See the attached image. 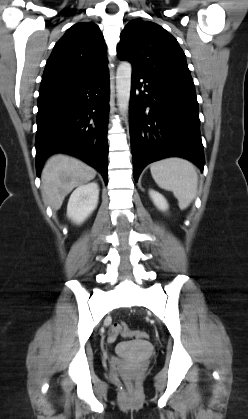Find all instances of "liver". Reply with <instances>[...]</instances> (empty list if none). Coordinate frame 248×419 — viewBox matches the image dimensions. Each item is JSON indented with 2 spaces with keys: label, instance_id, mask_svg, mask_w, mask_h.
<instances>
[{
  "label": "liver",
  "instance_id": "1",
  "mask_svg": "<svg viewBox=\"0 0 248 419\" xmlns=\"http://www.w3.org/2000/svg\"><path fill=\"white\" fill-rule=\"evenodd\" d=\"M96 176V170L81 160L56 154L45 163L41 173V191L45 204L58 210L67 194Z\"/></svg>",
  "mask_w": 248,
  "mask_h": 419
}]
</instances>
